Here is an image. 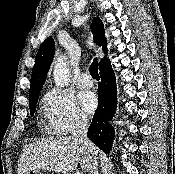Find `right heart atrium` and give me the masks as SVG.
I'll use <instances>...</instances> for the list:
<instances>
[{"label":"right heart atrium","instance_id":"1","mask_svg":"<svg viewBox=\"0 0 175 174\" xmlns=\"http://www.w3.org/2000/svg\"><path fill=\"white\" fill-rule=\"evenodd\" d=\"M43 106L47 128L52 134H69L88 125L75 98L61 89L49 90L43 97Z\"/></svg>","mask_w":175,"mask_h":174}]
</instances>
